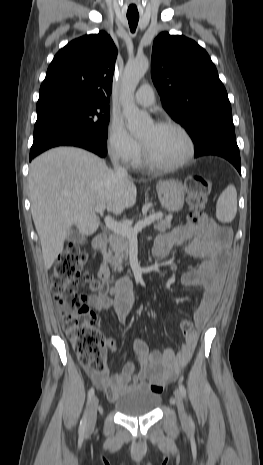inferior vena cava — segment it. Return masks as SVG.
<instances>
[{
	"label": "inferior vena cava",
	"instance_id": "obj_1",
	"mask_svg": "<svg viewBox=\"0 0 263 465\" xmlns=\"http://www.w3.org/2000/svg\"><path fill=\"white\" fill-rule=\"evenodd\" d=\"M111 161H112V163H113L115 173H116L119 177L127 178V177H128V172H127V170H126L124 167H121V166H120L118 156L115 155V154H113V155L111 156Z\"/></svg>",
	"mask_w": 263,
	"mask_h": 465
}]
</instances>
